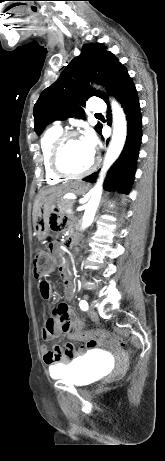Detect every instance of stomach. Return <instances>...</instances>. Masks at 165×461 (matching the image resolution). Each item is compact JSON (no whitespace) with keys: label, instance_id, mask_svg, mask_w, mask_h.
Segmentation results:
<instances>
[{"label":"stomach","instance_id":"0dacf381","mask_svg":"<svg viewBox=\"0 0 165 461\" xmlns=\"http://www.w3.org/2000/svg\"><path fill=\"white\" fill-rule=\"evenodd\" d=\"M87 190V186L82 182H75L70 188V192L81 195ZM61 194H50L45 196L40 203L39 215L35 225V231L37 237L40 240H44L48 237L50 222L48 215L53 213V208L56 203L60 200Z\"/></svg>","mask_w":165,"mask_h":461}]
</instances>
